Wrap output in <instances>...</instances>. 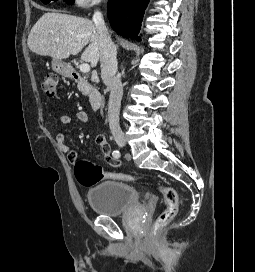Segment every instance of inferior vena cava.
<instances>
[{
  "label": "inferior vena cava",
  "mask_w": 255,
  "mask_h": 272,
  "mask_svg": "<svg viewBox=\"0 0 255 272\" xmlns=\"http://www.w3.org/2000/svg\"><path fill=\"white\" fill-rule=\"evenodd\" d=\"M98 33L100 45L101 78L110 90L108 103V122L112 134L121 133L119 113L123 96V86L117 72V49L111 40L109 31L105 25L103 15L95 11L92 18Z\"/></svg>",
  "instance_id": "inferior-vena-cava-1"
}]
</instances>
